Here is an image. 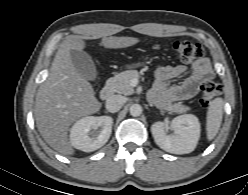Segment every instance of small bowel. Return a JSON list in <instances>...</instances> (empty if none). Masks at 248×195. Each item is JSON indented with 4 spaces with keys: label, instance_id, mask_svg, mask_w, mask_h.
I'll list each match as a JSON object with an SVG mask.
<instances>
[{
    "label": "small bowel",
    "instance_id": "1",
    "mask_svg": "<svg viewBox=\"0 0 248 195\" xmlns=\"http://www.w3.org/2000/svg\"><path fill=\"white\" fill-rule=\"evenodd\" d=\"M184 65L161 66L156 70L155 82L150 90V99L160 107H168L174 102L195 96L200 85L213 78V69L208 59H200L192 66L191 73L179 84L170 85L169 81L185 74Z\"/></svg>",
    "mask_w": 248,
    "mask_h": 195
}]
</instances>
